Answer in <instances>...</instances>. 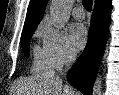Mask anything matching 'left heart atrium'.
I'll return each instance as SVG.
<instances>
[{"label":"left heart atrium","instance_id":"left-heart-atrium-1","mask_svg":"<svg viewBox=\"0 0 119 95\" xmlns=\"http://www.w3.org/2000/svg\"><path fill=\"white\" fill-rule=\"evenodd\" d=\"M88 40V32L81 23H75L70 28L69 42L74 51L82 50Z\"/></svg>","mask_w":119,"mask_h":95}]
</instances>
